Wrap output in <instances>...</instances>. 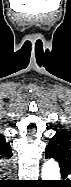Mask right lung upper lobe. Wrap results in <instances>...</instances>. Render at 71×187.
<instances>
[{"label":"right lung upper lobe","instance_id":"cb5924a9","mask_svg":"<svg viewBox=\"0 0 71 187\" xmlns=\"http://www.w3.org/2000/svg\"><path fill=\"white\" fill-rule=\"evenodd\" d=\"M11 156L12 151L9 142L6 141L4 136L0 135V157L10 158Z\"/></svg>","mask_w":71,"mask_h":187}]
</instances>
